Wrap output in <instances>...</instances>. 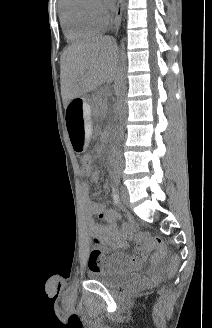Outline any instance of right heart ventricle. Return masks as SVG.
Listing matches in <instances>:
<instances>
[{
	"label": "right heart ventricle",
	"instance_id": "e07e8e85",
	"mask_svg": "<svg viewBox=\"0 0 212 328\" xmlns=\"http://www.w3.org/2000/svg\"><path fill=\"white\" fill-rule=\"evenodd\" d=\"M60 18L66 37L73 41L95 36L106 25L92 0H61Z\"/></svg>",
	"mask_w": 212,
	"mask_h": 328
}]
</instances>
